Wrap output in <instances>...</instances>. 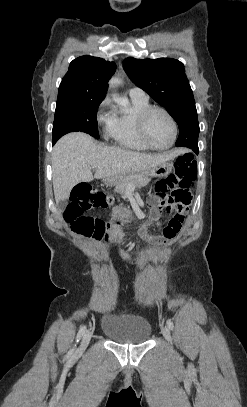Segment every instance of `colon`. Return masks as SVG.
I'll use <instances>...</instances> for the list:
<instances>
[{"label": "colon", "instance_id": "5ec220e1", "mask_svg": "<svg viewBox=\"0 0 247 407\" xmlns=\"http://www.w3.org/2000/svg\"><path fill=\"white\" fill-rule=\"evenodd\" d=\"M197 174V162L191 154L179 157L171 174L164 180L153 185L156 192L168 195L175 203L189 204L191 202V188ZM109 198L98 188L88 185H78L70 198L64 212L65 221L71 229L85 237L101 238L110 229L104 221L90 216L87 212L108 207Z\"/></svg>", "mask_w": 247, "mask_h": 407}]
</instances>
